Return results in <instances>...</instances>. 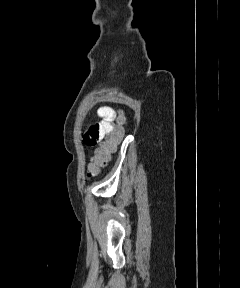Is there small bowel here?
Returning a JSON list of instances; mask_svg holds the SVG:
<instances>
[{
  "instance_id": "obj_1",
  "label": "small bowel",
  "mask_w": 240,
  "mask_h": 288,
  "mask_svg": "<svg viewBox=\"0 0 240 288\" xmlns=\"http://www.w3.org/2000/svg\"><path fill=\"white\" fill-rule=\"evenodd\" d=\"M99 122L90 126L82 133V141L87 146H94L101 142L103 138L115 128V111L110 107H100L98 109Z\"/></svg>"
}]
</instances>
